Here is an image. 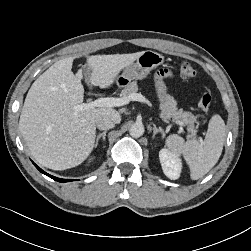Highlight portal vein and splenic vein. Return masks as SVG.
<instances>
[{
	"mask_svg": "<svg viewBox=\"0 0 251 251\" xmlns=\"http://www.w3.org/2000/svg\"><path fill=\"white\" fill-rule=\"evenodd\" d=\"M130 101H139V102H143L146 104H149V100L147 98H145L142 94L139 93H132L130 94L128 97H121V98H114V97H106V98H98L92 102L89 103H83L81 105H77L75 107V111L76 112H80L83 110H87V109H92L95 107H120L123 105L128 104ZM161 118L165 121V122H169L168 119L164 118L161 116ZM175 124L179 125V126H183L184 123L182 121H174Z\"/></svg>",
	"mask_w": 251,
	"mask_h": 251,
	"instance_id": "18ae733b",
	"label": "portal vein and splenic vein"
}]
</instances>
